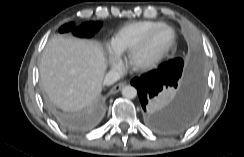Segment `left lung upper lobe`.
Returning <instances> with one entry per match:
<instances>
[{"instance_id": "5c2ea615", "label": "left lung upper lobe", "mask_w": 244, "mask_h": 157, "mask_svg": "<svg viewBox=\"0 0 244 157\" xmlns=\"http://www.w3.org/2000/svg\"><path fill=\"white\" fill-rule=\"evenodd\" d=\"M182 62H183V60L181 58L172 59V60H169L168 62L161 64L160 68L168 69L171 66H175V65L180 66L182 64Z\"/></svg>"}]
</instances>
